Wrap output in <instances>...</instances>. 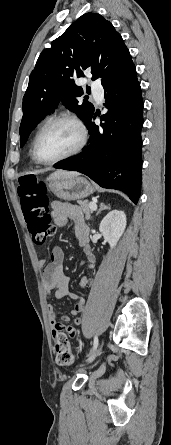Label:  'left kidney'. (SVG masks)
<instances>
[{"instance_id": "obj_1", "label": "left kidney", "mask_w": 171, "mask_h": 445, "mask_svg": "<svg viewBox=\"0 0 171 445\" xmlns=\"http://www.w3.org/2000/svg\"><path fill=\"white\" fill-rule=\"evenodd\" d=\"M126 215L123 211L112 210L101 221L99 230L111 248H114L126 228Z\"/></svg>"}]
</instances>
